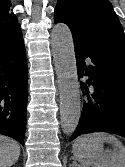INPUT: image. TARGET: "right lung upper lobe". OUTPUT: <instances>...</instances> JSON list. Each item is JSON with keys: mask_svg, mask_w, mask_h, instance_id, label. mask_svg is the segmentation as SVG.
Here are the masks:
<instances>
[{"mask_svg": "<svg viewBox=\"0 0 125 167\" xmlns=\"http://www.w3.org/2000/svg\"><path fill=\"white\" fill-rule=\"evenodd\" d=\"M10 5L9 0H0V36L21 31L16 16L9 12Z\"/></svg>", "mask_w": 125, "mask_h": 167, "instance_id": "right-lung-upper-lobe-1", "label": "right lung upper lobe"}]
</instances>
